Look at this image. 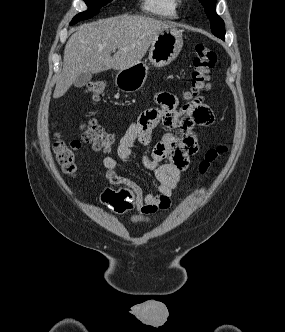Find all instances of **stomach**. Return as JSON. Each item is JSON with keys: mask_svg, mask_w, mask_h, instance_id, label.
<instances>
[{"mask_svg": "<svg viewBox=\"0 0 285 332\" xmlns=\"http://www.w3.org/2000/svg\"><path fill=\"white\" fill-rule=\"evenodd\" d=\"M182 46L181 32L171 27L161 32L152 42L148 60L155 67L166 66L176 59ZM147 74L148 67L140 62L128 69L120 70L116 75L115 84L122 91L135 92L143 87Z\"/></svg>", "mask_w": 285, "mask_h": 332, "instance_id": "obj_1", "label": "stomach"}]
</instances>
